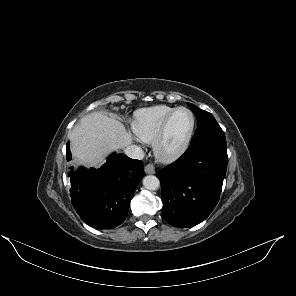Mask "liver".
<instances>
[{
	"label": "liver",
	"instance_id": "liver-1",
	"mask_svg": "<svg viewBox=\"0 0 296 296\" xmlns=\"http://www.w3.org/2000/svg\"><path fill=\"white\" fill-rule=\"evenodd\" d=\"M131 144L132 137L123 124L99 112L81 118L70 134L75 162L87 167H100L108 153Z\"/></svg>",
	"mask_w": 296,
	"mask_h": 296
}]
</instances>
